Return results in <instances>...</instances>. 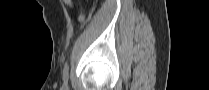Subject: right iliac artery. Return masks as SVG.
Here are the masks:
<instances>
[{
  "instance_id": "right-iliac-artery-1",
  "label": "right iliac artery",
  "mask_w": 209,
  "mask_h": 90,
  "mask_svg": "<svg viewBox=\"0 0 209 90\" xmlns=\"http://www.w3.org/2000/svg\"><path fill=\"white\" fill-rule=\"evenodd\" d=\"M68 71H69V67H68V65L66 64L65 66H64V70H63V80H64V82H68Z\"/></svg>"
}]
</instances>
